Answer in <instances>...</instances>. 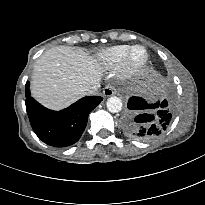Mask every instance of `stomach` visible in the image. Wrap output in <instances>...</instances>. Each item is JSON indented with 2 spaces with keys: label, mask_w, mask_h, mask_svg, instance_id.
<instances>
[{
  "label": "stomach",
  "mask_w": 205,
  "mask_h": 205,
  "mask_svg": "<svg viewBox=\"0 0 205 205\" xmlns=\"http://www.w3.org/2000/svg\"><path fill=\"white\" fill-rule=\"evenodd\" d=\"M152 79L148 74H143L141 77V84L142 85H149L151 83Z\"/></svg>",
  "instance_id": "1"
}]
</instances>
